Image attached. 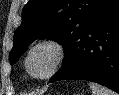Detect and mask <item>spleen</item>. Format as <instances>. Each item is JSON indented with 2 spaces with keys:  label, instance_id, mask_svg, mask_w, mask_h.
I'll use <instances>...</instances> for the list:
<instances>
[{
  "label": "spleen",
  "instance_id": "obj_1",
  "mask_svg": "<svg viewBox=\"0 0 119 95\" xmlns=\"http://www.w3.org/2000/svg\"><path fill=\"white\" fill-rule=\"evenodd\" d=\"M89 86L93 95H118L114 91L93 82H91Z\"/></svg>",
  "mask_w": 119,
  "mask_h": 95
}]
</instances>
